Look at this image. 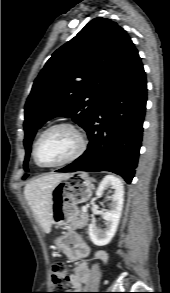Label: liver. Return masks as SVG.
I'll use <instances>...</instances> for the list:
<instances>
[{"label":"liver","instance_id":"obj_1","mask_svg":"<svg viewBox=\"0 0 170 293\" xmlns=\"http://www.w3.org/2000/svg\"><path fill=\"white\" fill-rule=\"evenodd\" d=\"M67 174L50 173L30 181L24 188L25 198L45 233L52 226V190Z\"/></svg>","mask_w":170,"mask_h":293}]
</instances>
